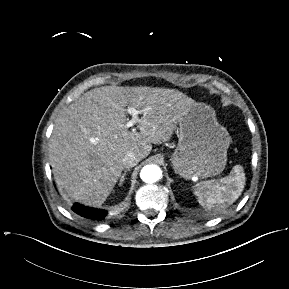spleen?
<instances>
[{
  "instance_id": "obj_1",
  "label": "spleen",
  "mask_w": 289,
  "mask_h": 289,
  "mask_svg": "<svg viewBox=\"0 0 289 289\" xmlns=\"http://www.w3.org/2000/svg\"><path fill=\"white\" fill-rule=\"evenodd\" d=\"M246 182L244 169L235 165L228 176L219 180L202 181L196 185L198 202L208 209L222 210L241 195Z\"/></svg>"
}]
</instances>
